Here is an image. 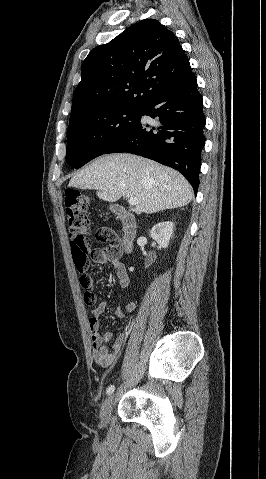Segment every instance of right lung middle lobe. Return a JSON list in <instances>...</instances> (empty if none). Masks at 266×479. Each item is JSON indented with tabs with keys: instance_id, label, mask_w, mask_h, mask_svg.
<instances>
[{
	"instance_id": "obj_1",
	"label": "right lung middle lobe",
	"mask_w": 266,
	"mask_h": 479,
	"mask_svg": "<svg viewBox=\"0 0 266 479\" xmlns=\"http://www.w3.org/2000/svg\"><path fill=\"white\" fill-rule=\"evenodd\" d=\"M142 109L118 108L69 121L67 163L78 169L103 155L140 121Z\"/></svg>"
}]
</instances>
